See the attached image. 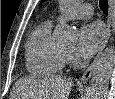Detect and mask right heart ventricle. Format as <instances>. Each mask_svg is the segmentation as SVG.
Listing matches in <instances>:
<instances>
[{"instance_id":"1","label":"right heart ventricle","mask_w":115,"mask_h":99,"mask_svg":"<svg viewBox=\"0 0 115 99\" xmlns=\"http://www.w3.org/2000/svg\"><path fill=\"white\" fill-rule=\"evenodd\" d=\"M51 31V23L44 22L28 38L25 50L26 68L34 75H54L65 65L66 56L52 44Z\"/></svg>"}]
</instances>
